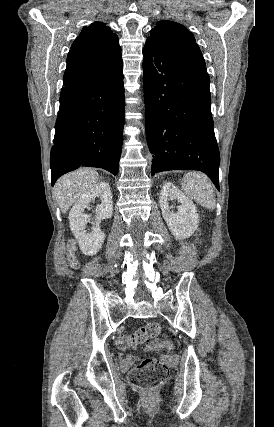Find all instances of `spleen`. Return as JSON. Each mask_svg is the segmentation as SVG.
I'll use <instances>...</instances> for the list:
<instances>
[{
	"instance_id": "obj_1",
	"label": "spleen",
	"mask_w": 274,
	"mask_h": 427,
	"mask_svg": "<svg viewBox=\"0 0 274 427\" xmlns=\"http://www.w3.org/2000/svg\"><path fill=\"white\" fill-rule=\"evenodd\" d=\"M182 188L187 198L194 200L196 204H200L203 208L214 210L215 198L213 186L205 174L188 172V174L183 176Z\"/></svg>"
}]
</instances>
